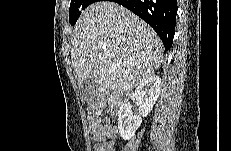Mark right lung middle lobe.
Listing matches in <instances>:
<instances>
[{"label": "right lung middle lobe", "mask_w": 231, "mask_h": 151, "mask_svg": "<svg viewBox=\"0 0 231 151\" xmlns=\"http://www.w3.org/2000/svg\"><path fill=\"white\" fill-rule=\"evenodd\" d=\"M96 0H71L69 8V22L74 25L81 12Z\"/></svg>", "instance_id": "right-lung-middle-lobe-1"}]
</instances>
